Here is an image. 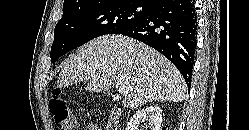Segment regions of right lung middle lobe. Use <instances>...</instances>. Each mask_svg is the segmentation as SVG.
I'll return each instance as SVG.
<instances>
[{
  "label": "right lung middle lobe",
  "instance_id": "dd1d6c3e",
  "mask_svg": "<svg viewBox=\"0 0 249 130\" xmlns=\"http://www.w3.org/2000/svg\"><path fill=\"white\" fill-rule=\"evenodd\" d=\"M151 6L134 0H111L63 12L55 27L51 61L105 34H119L144 20Z\"/></svg>",
  "mask_w": 249,
  "mask_h": 130
}]
</instances>
